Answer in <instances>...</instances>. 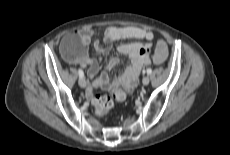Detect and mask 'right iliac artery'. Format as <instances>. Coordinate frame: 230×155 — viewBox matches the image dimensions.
Segmentation results:
<instances>
[{"mask_svg": "<svg viewBox=\"0 0 230 155\" xmlns=\"http://www.w3.org/2000/svg\"><path fill=\"white\" fill-rule=\"evenodd\" d=\"M78 74H79L80 78L84 77V73H83V71L81 69L78 70Z\"/></svg>", "mask_w": 230, "mask_h": 155, "instance_id": "82829eb1", "label": "right iliac artery"}]
</instances>
